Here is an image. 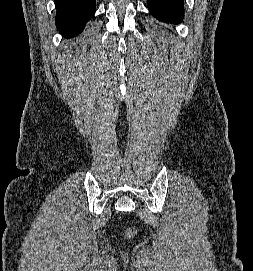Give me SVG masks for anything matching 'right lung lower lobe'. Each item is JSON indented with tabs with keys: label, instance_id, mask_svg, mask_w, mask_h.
<instances>
[{
	"label": "right lung lower lobe",
	"instance_id": "right-lung-lower-lobe-1",
	"mask_svg": "<svg viewBox=\"0 0 253 271\" xmlns=\"http://www.w3.org/2000/svg\"><path fill=\"white\" fill-rule=\"evenodd\" d=\"M56 26L66 37L80 33L95 12V0H55Z\"/></svg>",
	"mask_w": 253,
	"mask_h": 271
}]
</instances>
